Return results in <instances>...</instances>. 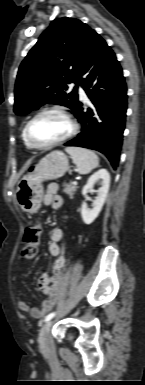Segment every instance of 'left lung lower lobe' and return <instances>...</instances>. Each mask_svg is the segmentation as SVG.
Returning a JSON list of instances; mask_svg holds the SVG:
<instances>
[{
  "mask_svg": "<svg viewBox=\"0 0 145 385\" xmlns=\"http://www.w3.org/2000/svg\"><path fill=\"white\" fill-rule=\"evenodd\" d=\"M78 84L94 107L85 111L83 103H79L75 117L82 124V131L65 145L97 150L116 167L125 129L127 87L114 52L97 33Z\"/></svg>",
  "mask_w": 145,
  "mask_h": 385,
  "instance_id": "left-lung-lower-lobe-1",
  "label": "left lung lower lobe"
}]
</instances>
